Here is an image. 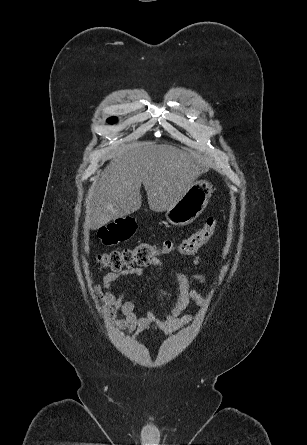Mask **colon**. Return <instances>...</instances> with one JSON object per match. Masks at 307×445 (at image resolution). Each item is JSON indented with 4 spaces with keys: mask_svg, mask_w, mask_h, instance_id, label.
Segmentation results:
<instances>
[{
    "mask_svg": "<svg viewBox=\"0 0 307 445\" xmlns=\"http://www.w3.org/2000/svg\"><path fill=\"white\" fill-rule=\"evenodd\" d=\"M217 227L218 220L215 217H209L202 228L188 234L179 242L164 240L158 244L139 243L132 248L102 253L98 256V262L101 267L121 271L146 266L162 254L178 252L182 255H192L213 237ZM136 230L135 220L124 217L102 227L98 232V237L104 245L113 246L129 240Z\"/></svg>",
    "mask_w": 307,
    "mask_h": 445,
    "instance_id": "5ec220e1",
    "label": "colon"
}]
</instances>
